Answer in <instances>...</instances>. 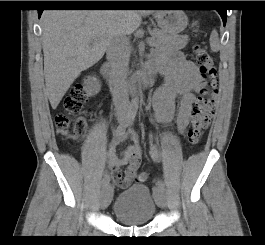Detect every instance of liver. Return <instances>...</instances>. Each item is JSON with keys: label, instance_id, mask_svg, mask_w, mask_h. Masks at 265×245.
<instances>
[{"label": "liver", "instance_id": "1", "mask_svg": "<svg viewBox=\"0 0 265 245\" xmlns=\"http://www.w3.org/2000/svg\"><path fill=\"white\" fill-rule=\"evenodd\" d=\"M151 10H46L42 47L46 92L53 109L81 74L105 54L114 35L136 31Z\"/></svg>", "mask_w": 265, "mask_h": 245}]
</instances>
